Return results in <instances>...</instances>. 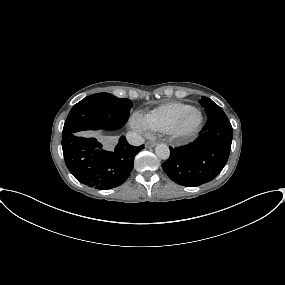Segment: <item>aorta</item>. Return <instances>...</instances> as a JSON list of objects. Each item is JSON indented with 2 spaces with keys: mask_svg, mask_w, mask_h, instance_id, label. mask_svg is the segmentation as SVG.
<instances>
[{
  "mask_svg": "<svg viewBox=\"0 0 285 285\" xmlns=\"http://www.w3.org/2000/svg\"><path fill=\"white\" fill-rule=\"evenodd\" d=\"M155 153L156 155L162 159V160H167L170 156V150L169 147L166 144H158L155 147Z\"/></svg>",
  "mask_w": 285,
  "mask_h": 285,
  "instance_id": "762f6f07",
  "label": "aorta"
}]
</instances>
